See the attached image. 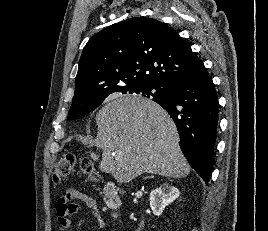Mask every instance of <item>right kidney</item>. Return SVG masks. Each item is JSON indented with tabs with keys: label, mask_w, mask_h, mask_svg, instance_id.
Returning a JSON list of instances; mask_svg holds the SVG:
<instances>
[{
	"label": "right kidney",
	"mask_w": 268,
	"mask_h": 231,
	"mask_svg": "<svg viewBox=\"0 0 268 231\" xmlns=\"http://www.w3.org/2000/svg\"><path fill=\"white\" fill-rule=\"evenodd\" d=\"M179 195V190L168 183H165L160 187L152 190L150 193V207L153 214L160 216L163 213L165 207L176 200Z\"/></svg>",
	"instance_id": "1"
}]
</instances>
